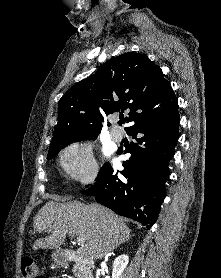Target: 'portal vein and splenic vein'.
Here are the masks:
<instances>
[{"mask_svg":"<svg viewBox=\"0 0 221 278\" xmlns=\"http://www.w3.org/2000/svg\"><path fill=\"white\" fill-rule=\"evenodd\" d=\"M77 242H78L79 244H82V243L84 242V239L81 238V237H77Z\"/></svg>","mask_w":221,"mask_h":278,"instance_id":"1","label":"portal vein and splenic vein"}]
</instances>
